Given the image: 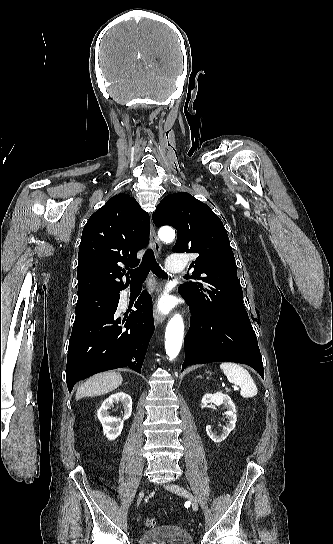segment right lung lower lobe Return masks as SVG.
Wrapping results in <instances>:
<instances>
[{
	"mask_svg": "<svg viewBox=\"0 0 333 544\" xmlns=\"http://www.w3.org/2000/svg\"><path fill=\"white\" fill-rule=\"evenodd\" d=\"M118 302L114 307L73 325L66 366L69 392L77 381L102 371L129 367L141 372L155 328L152 298L144 290L135 302L137 310L123 319L116 314Z\"/></svg>",
	"mask_w": 333,
	"mask_h": 544,
	"instance_id": "98d812e1",
	"label": "right lung lower lobe"
}]
</instances>
